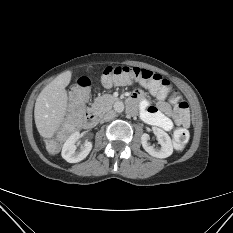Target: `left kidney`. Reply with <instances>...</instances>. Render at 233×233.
<instances>
[{
  "instance_id": "1",
  "label": "left kidney",
  "mask_w": 233,
  "mask_h": 233,
  "mask_svg": "<svg viewBox=\"0 0 233 233\" xmlns=\"http://www.w3.org/2000/svg\"><path fill=\"white\" fill-rule=\"evenodd\" d=\"M153 133L155 134L160 148H154L148 142L149 135L144 133L141 137V143L144 150L149 153L151 156L156 158H167L173 153V145L170 136L162 129L158 127L152 128Z\"/></svg>"
}]
</instances>
